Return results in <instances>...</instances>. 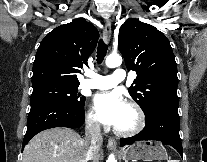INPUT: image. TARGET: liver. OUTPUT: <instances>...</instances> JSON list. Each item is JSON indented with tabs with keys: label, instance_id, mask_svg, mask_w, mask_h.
<instances>
[{
	"label": "liver",
	"instance_id": "liver-1",
	"mask_svg": "<svg viewBox=\"0 0 207 162\" xmlns=\"http://www.w3.org/2000/svg\"><path fill=\"white\" fill-rule=\"evenodd\" d=\"M87 150L88 144L76 131L56 127L38 133L29 141L23 162H83Z\"/></svg>",
	"mask_w": 207,
	"mask_h": 162
}]
</instances>
